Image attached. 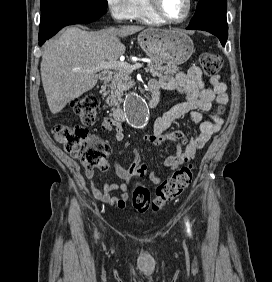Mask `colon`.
I'll list each match as a JSON object with an SVG mask.
<instances>
[{
    "label": "colon",
    "instance_id": "1",
    "mask_svg": "<svg viewBox=\"0 0 272 282\" xmlns=\"http://www.w3.org/2000/svg\"><path fill=\"white\" fill-rule=\"evenodd\" d=\"M200 65L208 75H217L221 71L222 63L218 56L211 53H202ZM71 108L79 117L81 124L55 123L52 134L55 140L74 159H77L85 169L108 168V146L99 139H92L89 128L94 125L98 104L95 98L85 96L75 99ZM222 109H219V113ZM193 180V166L183 167L173 173L171 177L157 186L155 197L151 198L149 190L136 183L132 191V204L137 212L144 213L152 209L161 210L168 202L178 197Z\"/></svg>",
    "mask_w": 272,
    "mask_h": 282
}]
</instances>
